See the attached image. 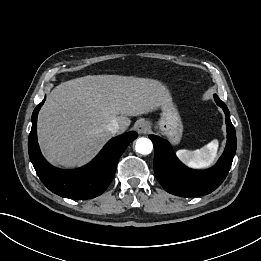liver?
I'll return each mask as SVG.
<instances>
[{
	"mask_svg": "<svg viewBox=\"0 0 261 261\" xmlns=\"http://www.w3.org/2000/svg\"><path fill=\"white\" fill-rule=\"evenodd\" d=\"M170 92L160 81L119 75H88L63 82L48 95L38 116V141L53 165L89 162L111 138L107 125L121 132L138 116L167 105Z\"/></svg>",
	"mask_w": 261,
	"mask_h": 261,
	"instance_id": "1",
	"label": "liver"
}]
</instances>
